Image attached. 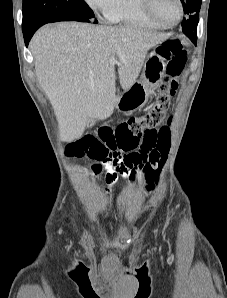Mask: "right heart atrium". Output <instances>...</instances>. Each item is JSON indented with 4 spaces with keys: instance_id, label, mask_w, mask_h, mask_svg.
<instances>
[{
    "instance_id": "1",
    "label": "right heart atrium",
    "mask_w": 227,
    "mask_h": 298,
    "mask_svg": "<svg viewBox=\"0 0 227 298\" xmlns=\"http://www.w3.org/2000/svg\"><path fill=\"white\" fill-rule=\"evenodd\" d=\"M113 0H85L87 5L94 11H102L103 13L108 9Z\"/></svg>"
}]
</instances>
